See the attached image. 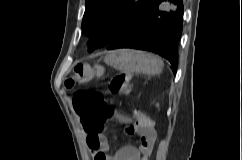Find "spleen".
Returning <instances> with one entry per match:
<instances>
[{
	"instance_id": "3e777b00",
	"label": "spleen",
	"mask_w": 242,
	"mask_h": 160,
	"mask_svg": "<svg viewBox=\"0 0 242 160\" xmlns=\"http://www.w3.org/2000/svg\"><path fill=\"white\" fill-rule=\"evenodd\" d=\"M159 62H160V65H161V68H162V66H163V62L159 59Z\"/></svg>"
}]
</instances>
